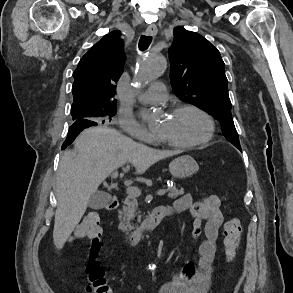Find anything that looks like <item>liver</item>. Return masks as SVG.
I'll return each mask as SVG.
<instances>
[{"label": "liver", "instance_id": "obj_1", "mask_svg": "<svg viewBox=\"0 0 293 293\" xmlns=\"http://www.w3.org/2000/svg\"><path fill=\"white\" fill-rule=\"evenodd\" d=\"M179 154L159 151L138 144L106 126L83 130L74 150L61 157L57 178V209L53 230L54 244L62 248L84 215L90 197L116 169L129 162L136 173H144L159 160Z\"/></svg>", "mask_w": 293, "mask_h": 293}]
</instances>
